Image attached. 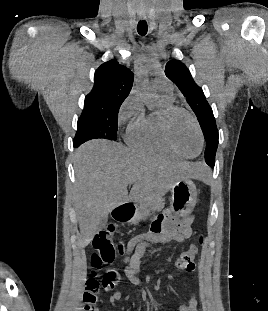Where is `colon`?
<instances>
[{
	"mask_svg": "<svg viewBox=\"0 0 268 311\" xmlns=\"http://www.w3.org/2000/svg\"><path fill=\"white\" fill-rule=\"evenodd\" d=\"M115 228L110 225L107 229L100 231L93 240L94 252L90 258V264L93 269H99L104 265L112 264L117 254H122L124 247L122 244L116 245L113 242ZM202 243V238L199 239ZM198 253L197 245H191L176 260L177 268L191 271L195 266V258ZM119 281V273L116 270L109 271L101 280L96 277L88 279L83 295L84 306L82 311H98L96 307L97 295L102 287L105 290H111Z\"/></svg>",
	"mask_w": 268,
	"mask_h": 311,
	"instance_id": "obj_1",
	"label": "colon"
}]
</instances>
